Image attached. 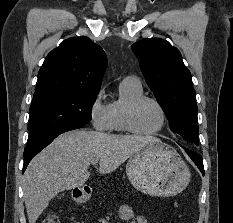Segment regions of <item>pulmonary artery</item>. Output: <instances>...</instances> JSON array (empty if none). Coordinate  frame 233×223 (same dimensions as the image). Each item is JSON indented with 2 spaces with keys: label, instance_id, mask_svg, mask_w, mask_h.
I'll list each match as a JSON object with an SVG mask.
<instances>
[{
  "label": "pulmonary artery",
  "instance_id": "pulmonary-artery-1",
  "mask_svg": "<svg viewBox=\"0 0 233 223\" xmlns=\"http://www.w3.org/2000/svg\"><path fill=\"white\" fill-rule=\"evenodd\" d=\"M123 82H134V83L140 84V80H139V78L136 77V76H127V77L123 80Z\"/></svg>",
  "mask_w": 233,
  "mask_h": 223
}]
</instances>
